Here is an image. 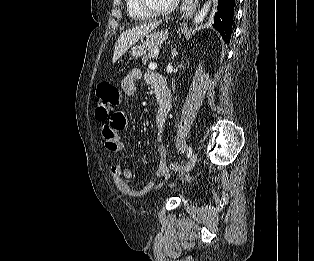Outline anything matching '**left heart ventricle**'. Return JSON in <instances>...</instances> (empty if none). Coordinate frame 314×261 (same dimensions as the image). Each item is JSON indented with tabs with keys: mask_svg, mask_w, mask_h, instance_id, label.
Masks as SVG:
<instances>
[{
	"mask_svg": "<svg viewBox=\"0 0 314 261\" xmlns=\"http://www.w3.org/2000/svg\"><path fill=\"white\" fill-rule=\"evenodd\" d=\"M156 9L167 8L174 0H148Z\"/></svg>",
	"mask_w": 314,
	"mask_h": 261,
	"instance_id": "left-heart-ventricle-1",
	"label": "left heart ventricle"
}]
</instances>
